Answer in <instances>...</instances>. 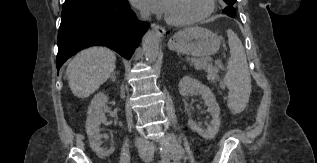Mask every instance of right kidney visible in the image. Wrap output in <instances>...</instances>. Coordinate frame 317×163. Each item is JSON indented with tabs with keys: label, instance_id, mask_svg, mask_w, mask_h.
Segmentation results:
<instances>
[{
	"label": "right kidney",
	"instance_id": "1",
	"mask_svg": "<svg viewBox=\"0 0 317 163\" xmlns=\"http://www.w3.org/2000/svg\"><path fill=\"white\" fill-rule=\"evenodd\" d=\"M106 94L100 92L94 96L87 111L86 131L90 147L100 158L108 157L114 152V147L104 149L101 147L102 136L99 134V125L106 122L103 106L108 102Z\"/></svg>",
	"mask_w": 317,
	"mask_h": 163
}]
</instances>
